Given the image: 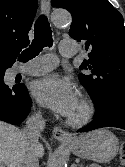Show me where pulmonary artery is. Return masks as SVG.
Returning a JSON list of instances; mask_svg holds the SVG:
<instances>
[{
    "mask_svg": "<svg viewBox=\"0 0 125 167\" xmlns=\"http://www.w3.org/2000/svg\"><path fill=\"white\" fill-rule=\"evenodd\" d=\"M76 49L74 40H62L60 42V53L65 58L73 57ZM56 64V56L49 53L36 58L31 65L19 69L16 73L29 76L43 75L52 71L56 67Z\"/></svg>",
    "mask_w": 125,
    "mask_h": 167,
    "instance_id": "1",
    "label": "pulmonary artery"
}]
</instances>
